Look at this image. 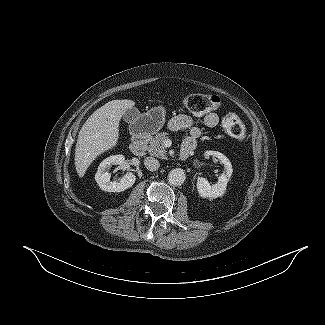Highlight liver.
<instances>
[{
	"mask_svg": "<svg viewBox=\"0 0 325 325\" xmlns=\"http://www.w3.org/2000/svg\"><path fill=\"white\" fill-rule=\"evenodd\" d=\"M134 105L132 100H112L94 111L86 120L75 148V167L80 178L97 156L116 146L120 120Z\"/></svg>",
	"mask_w": 325,
	"mask_h": 325,
	"instance_id": "obj_1",
	"label": "liver"
}]
</instances>
